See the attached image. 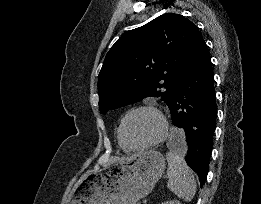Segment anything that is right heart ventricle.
Listing matches in <instances>:
<instances>
[{
	"mask_svg": "<svg viewBox=\"0 0 261 204\" xmlns=\"http://www.w3.org/2000/svg\"><path fill=\"white\" fill-rule=\"evenodd\" d=\"M120 144V143H119ZM121 146V145H120ZM121 148L124 150V151H128V150H126L125 148H123L122 146H121Z\"/></svg>",
	"mask_w": 261,
	"mask_h": 204,
	"instance_id": "e07e8e85",
	"label": "right heart ventricle"
}]
</instances>
